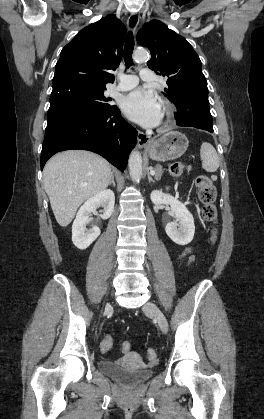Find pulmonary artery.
I'll list each match as a JSON object with an SVG mask.
<instances>
[{
	"mask_svg": "<svg viewBox=\"0 0 264 419\" xmlns=\"http://www.w3.org/2000/svg\"><path fill=\"white\" fill-rule=\"evenodd\" d=\"M140 78L144 81H152L153 73L150 69L144 68L140 71ZM139 82V77L133 74H124L120 76V83L116 86L119 91H127L134 88Z\"/></svg>",
	"mask_w": 264,
	"mask_h": 419,
	"instance_id": "e3ab8cb5",
	"label": "pulmonary artery"
}]
</instances>
